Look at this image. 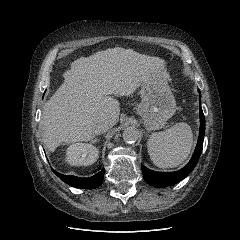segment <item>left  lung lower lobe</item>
Wrapping results in <instances>:
<instances>
[{
  "label": "left lung lower lobe",
  "instance_id": "1",
  "mask_svg": "<svg viewBox=\"0 0 240 240\" xmlns=\"http://www.w3.org/2000/svg\"><path fill=\"white\" fill-rule=\"evenodd\" d=\"M200 97H201V94L199 98ZM199 117H200V132H199L198 142H197L194 154L191 160L189 161V163L185 167H183L182 169L176 172H156L146 167H142L143 177L150 185L154 187H166V186L174 185L180 182L181 180H183L184 178H186L195 168V166L199 161V157L203 149V141H204V134H205V117L201 107H200Z\"/></svg>",
  "mask_w": 240,
  "mask_h": 240
}]
</instances>
